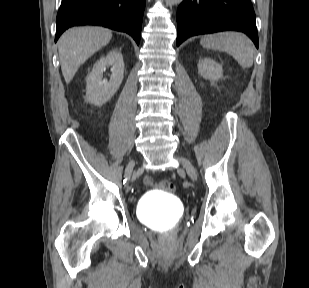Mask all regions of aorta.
Here are the masks:
<instances>
[{"instance_id":"obj_1","label":"aorta","mask_w":309,"mask_h":288,"mask_svg":"<svg viewBox=\"0 0 309 288\" xmlns=\"http://www.w3.org/2000/svg\"><path fill=\"white\" fill-rule=\"evenodd\" d=\"M182 0H165L166 5H176L179 4Z\"/></svg>"}]
</instances>
